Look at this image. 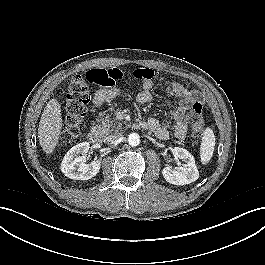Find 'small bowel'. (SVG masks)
Returning a JSON list of instances; mask_svg holds the SVG:
<instances>
[{"label": "small bowel", "instance_id": "1", "mask_svg": "<svg viewBox=\"0 0 265 265\" xmlns=\"http://www.w3.org/2000/svg\"><path fill=\"white\" fill-rule=\"evenodd\" d=\"M115 70V69H112ZM145 70V69H143ZM116 81L121 78V74L118 72L115 75ZM153 87V76H148L143 79V87L137 95L138 102L145 104L152 100L153 96L151 89ZM168 91L176 96L180 100V104L177 109L172 112V118L174 121L173 135L176 139L182 140L186 137L187 126L184 121L185 112L195 103L199 102L200 97L194 90H190L179 82L171 81L167 84ZM118 95V89L115 83L111 86H104L94 95V102L97 105H102L108 100ZM143 127L151 130L160 139H168L169 131L163 126L157 119L151 118L142 124Z\"/></svg>", "mask_w": 265, "mask_h": 265}]
</instances>
